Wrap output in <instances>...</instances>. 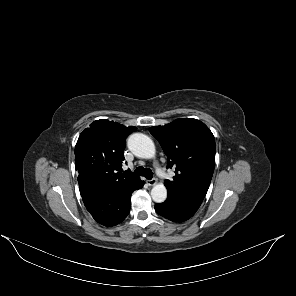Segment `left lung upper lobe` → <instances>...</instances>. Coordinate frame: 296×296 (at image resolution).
Returning a JSON list of instances; mask_svg holds the SVG:
<instances>
[{"instance_id": "5c2ea615", "label": "left lung upper lobe", "mask_w": 296, "mask_h": 296, "mask_svg": "<svg viewBox=\"0 0 296 296\" xmlns=\"http://www.w3.org/2000/svg\"><path fill=\"white\" fill-rule=\"evenodd\" d=\"M149 131L168 157L167 168L175 169L173 181H165L168 196L203 201L215 167V139L209 128L191 118Z\"/></svg>"}]
</instances>
